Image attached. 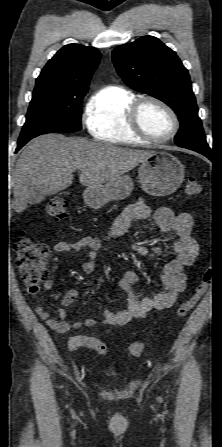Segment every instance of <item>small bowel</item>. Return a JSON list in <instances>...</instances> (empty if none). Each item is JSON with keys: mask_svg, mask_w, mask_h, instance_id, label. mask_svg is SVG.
<instances>
[{"mask_svg": "<svg viewBox=\"0 0 222 447\" xmlns=\"http://www.w3.org/2000/svg\"><path fill=\"white\" fill-rule=\"evenodd\" d=\"M148 221L162 232H173L175 234L171 247L176 254L175 259L168 262L160 276L162 291L154 296L139 298L136 293V287L140 284V277L134 271H126L117 281V288L126 296V307L113 312L109 309L103 311V323L107 326L122 327L128 324L132 319L145 318L150 311L168 310L175 304L178 296L186 288L187 276L184 273L186 267L191 266L198 254L199 246L192 237L191 231L194 225V219L189 213H174L166 206H159L152 209L143 199L130 204L126 207L123 214L119 216L109 233V238H116L126 232L133 221ZM102 242L92 237H82L77 240H62L54 244L53 249L57 253L81 252L87 251V260L82 264V271L92 276L95 271L94 260ZM131 249L139 256L153 259L162 253V247L155 246L149 248L142 244L133 243ZM52 282L45 284L46 289H50ZM79 296L77 289L67 290L61 297V304L69 306L73 304ZM34 311L47 324V326L57 332L65 333L70 329H78L83 326L93 327L96 325L95 319H87L84 322L69 323L68 311L61 308L58 311V318H53L51 313L42 305H35ZM94 337L87 335H75L68 341L69 348L72 351L80 347L93 348Z\"/></svg>", "mask_w": 222, "mask_h": 447, "instance_id": "1", "label": "small bowel"}]
</instances>
